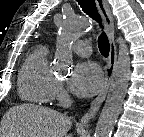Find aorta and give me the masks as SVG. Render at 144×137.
Masks as SVG:
<instances>
[{
  "instance_id": "1",
  "label": "aorta",
  "mask_w": 144,
  "mask_h": 137,
  "mask_svg": "<svg viewBox=\"0 0 144 137\" xmlns=\"http://www.w3.org/2000/svg\"><path fill=\"white\" fill-rule=\"evenodd\" d=\"M92 27L90 22L76 16H67L64 19L57 39V51L55 54L57 67H70L72 63V44L85 30ZM118 44V58L109 92L95 128L94 137H111L127 92L131 73L129 49L122 37L118 38Z\"/></svg>"
}]
</instances>
